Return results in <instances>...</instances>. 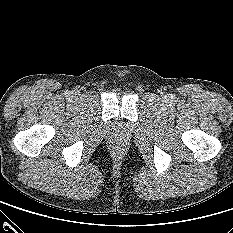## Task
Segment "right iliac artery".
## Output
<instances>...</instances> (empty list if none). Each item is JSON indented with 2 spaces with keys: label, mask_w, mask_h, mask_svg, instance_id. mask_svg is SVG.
I'll use <instances>...</instances> for the list:
<instances>
[{
  "label": "right iliac artery",
  "mask_w": 233,
  "mask_h": 233,
  "mask_svg": "<svg viewBox=\"0 0 233 233\" xmlns=\"http://www.w3.org/2000/svg\"><path fill=\"white\" fill-rule=\"evenodd\" d=\"M65 95L69 96V95H70V92H69V91H66V92H65Z\"/></svg>",
  "instance_id": "82829eb1"
}]
</instances>
